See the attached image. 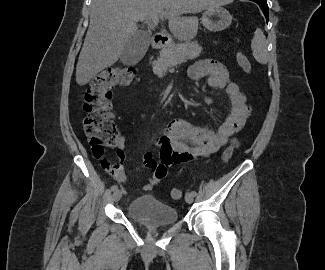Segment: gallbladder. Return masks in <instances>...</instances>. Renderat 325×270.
Segmentation results:
<instances>
[{"instance_id":"gallbladder-1","label":"gallbladder","mask_w":325,"mask_h":270,"mask_svg":"<svg viewBox=\"0 0 325 270\" xmlns=\"http://www.w3.org/2000/svg\"><path fill=\"white\" fill-rule=\"evenodd\" d=\"M151 33L145 30L135 32L127 42L121 61L125 65H131L139 62L145 55L150 44Z\"/></svg>"}]
</instances>
